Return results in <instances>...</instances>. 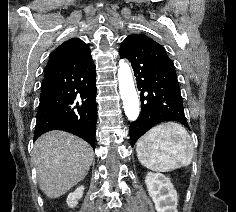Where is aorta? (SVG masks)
Instances as JSON below:
<instances>
[{
	"label": "aorta",
	"instance_id": "obj_1",
	"mask_svg": "<svg viewBox=\"0 0 236 212\" xmlns=\"http://www.w3.org/2000/svg\"><path fill=\"white\" fill-rule=\"evenodd\" d=\"M118 80L125 114L130 121H135L140 113V104L131 68L124 60L119 61Z\"/></svg>",
	"mask_w": 236,
	"mask_h": 212
}]
</instances>
